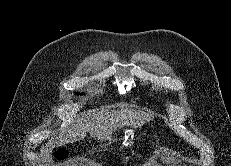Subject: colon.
<instances>
[{"label":"colon","instance_id":"obj_1","mask_svg":"<svg viewBox=\"0 0 231 166\" xmlns=\"http://www.w3.org/2000/svg\"><path fill=\"white\" fill-rule=\"evenodd\" d=\"M54 157L57 160L62 161L67 157V152L65 150H58L55 152Z\"/></svg>","mask_w":231,"mask_h":166}]
</instances>
